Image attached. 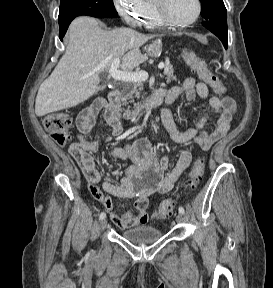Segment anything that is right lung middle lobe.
I'll list each match as a JSON object with an SVG mask.
<instances>
[{"label":"right lung middle lobe","mask_w":273,"mask_h":288,"mask_svg":"<svg viewBox=\"0 0 273 288\" xmlns=\"http://www.w3.org/2000/svg\"><path fill=\"white\" fill-rule=\"evenodd\" d=\"M81 15L101 18L117 17L118 13L113 0H61L59 24Z\"/></svg>","instance_id":"dd1d6c3e"}]
</instances>
